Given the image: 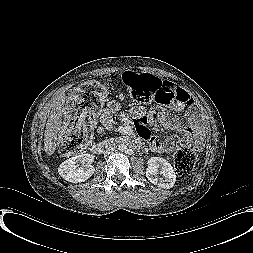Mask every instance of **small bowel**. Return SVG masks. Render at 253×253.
<instances>
[{
    "mask_svg": "<svg viewBox=\"0 0 253 253\" xmlns=\"http://www.w3.org/2000/svg\"><path fill=\"white\" fill-rule=\"evenodd\" d=\"M174 88L180 92V99L171 104L170 110H160L156 115L153 113H147L140 107H134L132 109V116L134 119V125L136 131L142 139L147 140L152 149L156 152L171 151L174 149L177 140L175 138L168 139L165 142H161L155 138L148 126L158 122L164 128L169 130L180 129L184 131L189 140H195V144L200 146V140L194 134V126L199 120V113L193 108V100L190 94L184 89L173 85ZM185 108L188 109L189 120L188 123H181L170 111L181 112ZM121 105L117 101H111L104 109L101 115V126L99 130L101 132L111 130L114 126V115L120 113Z\"/></svg>",
    "mask_w": 253,
    "mask_h": 253,
    "instance_id": "1",
    "label": "small bowel"
}]
</instances>
